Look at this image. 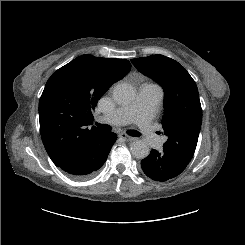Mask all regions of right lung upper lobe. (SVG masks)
<instances>
[{
  "mask_svg": "<svg viewBox=\"0 0 245 245\" xmlns=\"http://www.w3.org/2000/svg\"><path fill=\"white\" fill-rule=\"evenodd\" d=\"M130 69L125 59L82 55L48 79L39 102L40 133L56 166L101 132L94 126L88 128L93 122L91 111Z\"/></svg>",
  "mask_w": 245,
  "mask_h": 245,
  "instance_id": "cb5924a9",
  "label": "right lung upper lobe"
}]
</instances>
